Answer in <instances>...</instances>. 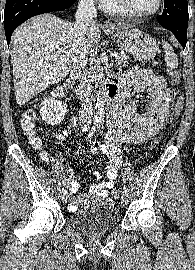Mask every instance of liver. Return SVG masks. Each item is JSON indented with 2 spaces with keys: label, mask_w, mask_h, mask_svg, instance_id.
I'll list each match as a JSON object with an SVG mask.
<instances>
[{
  "label": "liver",
  "mask_w": 195,
  "mask_h": 270,
  "mask_svg": "<svg viewBox=\"0 0 195 270\" xmlns=\"http://www.w3.org/2000/svg\"><path fill=\"white\" fill-rule=\"evenodd\" d=\"M74 25L52 14H42L14 31L11 63L15 97L19 105L26 104L68 75L77 49ZM118 26L128 29L121 23ZM100 39L101 31L95 24L86 36L88 47H94Z\"/></svg>",
  "instance_id": "liver-1"
}]
</instances>
